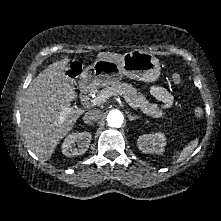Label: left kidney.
I'll return each mask as SVG.
<instances>
[{"label":"left kidney","instance_id":"1","mask_svg":"<svg viewBox=\"0 0 221 221\" xmlns=\"http://www.w3.org/2000/svg\"><path fill=\"white\" fill-rule=\"evenodd\" d=\"M165 140V135L160 132L144 134L138 138L137 146L143 153L161 154L166 145Z\"/></svg>","mask_w":221,"mask_h":221}]
</instances>
